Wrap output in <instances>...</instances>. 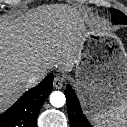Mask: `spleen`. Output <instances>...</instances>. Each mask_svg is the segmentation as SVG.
Masks as SVG:
<instances>
[{"mask_svg": "<svg viewBox=\"0 0 127 127\" xmlns=\"http://www.w3.org/2000/svg\"><path fill=\"white\" fill-rule=\"evenodd\" d=\"M92 121L97 127H127V99L107 111L96 113Z\"/></svg>", "mask_w": 127, "mask_h": 127, "instance_id": "obj_1", "label": "spleen"}]
</instances>
